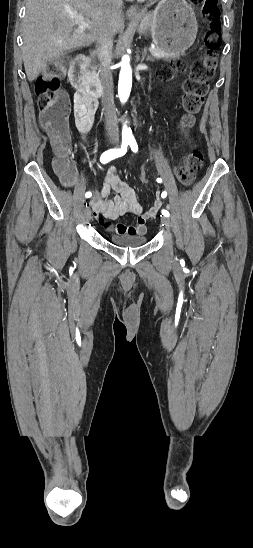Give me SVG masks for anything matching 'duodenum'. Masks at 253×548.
I'll list each match as a JSON object with an SVG mask.
<instances>
[{"mask_svg": "<svg viewBox=\"0 0 253 548\" xmlns=\"http://www.w3.org/2000/svg\"><path fill=\"white\" fill-rule=\"evenodd\" d=\"M93 56L94 52L77 56L71 63L69 80L78 92L96 99L102 95L103 91L91 77L89 65Z\"/></svg>", "mask_w": 253, "mask_h": 548, "instance_id": "duodenum-1", "label": "duodenum"}]
</instances>
